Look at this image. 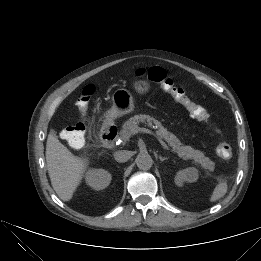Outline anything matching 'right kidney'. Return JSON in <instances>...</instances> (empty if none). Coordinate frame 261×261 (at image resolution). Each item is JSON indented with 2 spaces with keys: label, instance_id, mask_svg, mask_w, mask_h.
Returning <instances> with one entry per match:
<instances>
[{
  "label": "right kidney",
  "instance_id": "1",
  "mask_svg": "<svg viewBox=\"0 0 261 261\" xmlns=\"http://www.w3.org/2000/svg\"><path fill=\"white\" fill-rule=\"evenodd\" d=\"M111 179V174L104 169H91L86 173V183L95 190L105 189Z\"/></svg>",
  "mask_w": 261,
  "mask_h": 261
}]
</instances>
